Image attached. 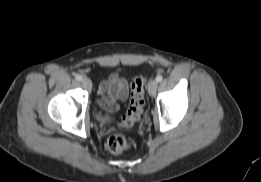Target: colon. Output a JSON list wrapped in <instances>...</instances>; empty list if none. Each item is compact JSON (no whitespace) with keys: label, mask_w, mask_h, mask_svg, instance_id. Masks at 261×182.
Instances as JSON below:
<instances>
[{"label":"colon","mask_w":261,"mask_h":182,"mask_svg":"<svg viewBox=\"0 0 261 182\" xmlns=\"http://www.w3.org/2000/svg\"><path fill=\"white\" fill-rule=\"evenodd\" d=\"M145 83L144 76H137L132 81L129 108L121 123L123 127H132L141 119L145 104ZM130 147L131 142L121 135H112L107 140V148L113 154L124 153Z\"/></svg>","instance_id":"5ec220e1"}]
</instances>
